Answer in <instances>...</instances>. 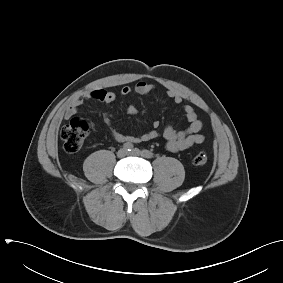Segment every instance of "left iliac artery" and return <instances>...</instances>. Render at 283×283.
I'll return each instance as SVG.
<instances>
[{
  "label": "left iliac artery",
  "instance_id": "left-iliac-artery-1",
  "mask_svg": "<svg viewBox=\"0 0 283 283\" xmlns=\"http://www.w3.org/2000/svg\"><path fill=\"white\" fill-rule=\"evenodd\" d=\"M142 154L146 158H153V156H154V154L147 149L142 150Z\"/></svg>",
  "mask_w": 283,
  "mask_h": 283
}]
</instances>
